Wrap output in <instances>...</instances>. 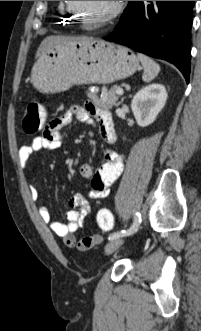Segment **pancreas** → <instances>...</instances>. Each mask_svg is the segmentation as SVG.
Segmentation results:
<instances>
[{
	"label": "pancreas",
	"mask_w": 201,
	"mask_h": 331,
	"mask_svg": "<svg viewBox=\"0 0 201 331\" xmlns=\"http://www.w3.org/2000/svg\"><path fill=\"white\" fill-rule=\"evenodd\" d=\"M117 89L118 87L111 88L108 92H105L102 97L97 96L98 90L91 92L89 88L86 93L88 98L92 100L97 106L103 109H110L116 105V102L119 99V96L116 94Z\"/></svg>",
	"instance_id": "obj_1"
}]
</instances>
